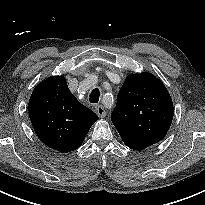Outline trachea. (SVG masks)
Wrapping results in <instances>:
<instances>
[{"label": "trachea", "mask_w": 205, "mask_h": 205, "mask_svg": "<svg viewBox=\"0 0 205 205\" xmlns=\"http://www.w3.org/2000/svg\"><path fill=\"white\" fill-rule=\"evenodd\" d=\"M99 98H100V91L98 88H95L92 90V92L90 93V102L91 103H98L99 101Z\"/></svg>", "instance_id": "obj_1"}]
</instances>
